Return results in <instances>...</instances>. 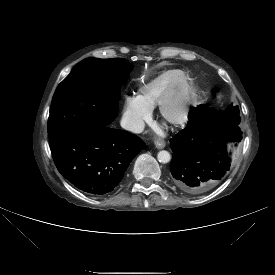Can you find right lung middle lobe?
<instances>
[{
  "mask_svg": "<svg viewBox=\"0 0 275 275\" xmlns=\"http://www.w3.org/2000/svg\"><path fill=\"white\" fill-rule=\"evenodd\" d=\"M131 64L122 58H87L58 85L48 119L49 137L92 124L108 125L117 113L116 82L129 77Z\"/></svg>",
  "mask_w": 275,
  "mask_h": 275,
  "instance_id": "dd1d6c3e",
  "label": "right lung middle lobe"
}]
</instances>
